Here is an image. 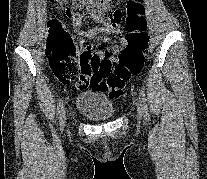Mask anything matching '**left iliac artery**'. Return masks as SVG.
<instances>
[{
	"label": "left iliac artery",
	"mask_w": 207,
	"mask_h": 179,
	"mask_svg": "<svg viewBox=\"0 0 207 179\" xmlns=\"http://www.w3.org/2000/svg\"><path fill=\"white\" fill-rule=\"evenodd\" d=\"M140 102L142 103V106H143V110H144V113H145V117L146 119H149V113H148V107H147V104H146V97H145V93L143 90H141L140 92Z\"/></svg>",
	"instance_id": "left-iliac-artery-1"
}]
</instances>
